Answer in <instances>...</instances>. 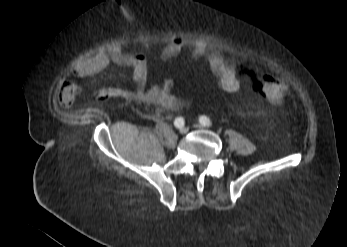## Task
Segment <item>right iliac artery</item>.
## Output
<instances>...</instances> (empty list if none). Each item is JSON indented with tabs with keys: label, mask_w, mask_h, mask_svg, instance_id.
I'll return each instance as SVG.
<instances>
[{
	"label": "right iliac artery",
	"mask_w": 347,
	"mask_h": 247,
	"mask_svg": "<svg viewBox=\"0 0 347 247\" xmlns=\"http://www.w3.org/2000/svg\"><path fill=\"white\" fill-rule=\"evenodd\" d=\"M184 119L182 117H178L175 119L174 121V125L177 127V128H181L184 126Z\"/></svg>",
	"instance_id": "1"
}]
</instances>
